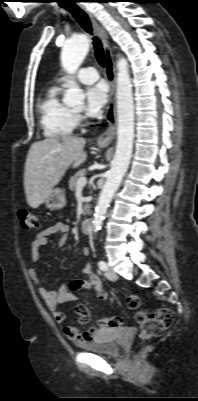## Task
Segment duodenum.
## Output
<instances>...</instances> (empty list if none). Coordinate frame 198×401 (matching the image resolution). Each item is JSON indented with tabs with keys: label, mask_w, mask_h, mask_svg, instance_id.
Instances as JSON below:
<instances>
[{
	"label": "duodenum",
	"mask_w": 198,
	"mask_h": 401,
	"mask_svg": "<svg viewBox=\"0 0 198 401\" xmlns=\"http://www.w3.org/2000/svg\"><path fill=\"white\" fill-rule=\"evenodd\" d=\"M91 226H92L91 218H85L81 222V230H82V232L85 233V234L89 233L90 230H91Z\"/></svg>",
	"instance_id": "obj_1"
}]
</instances>
